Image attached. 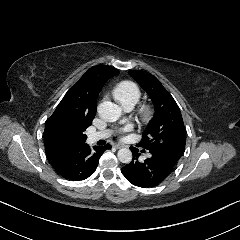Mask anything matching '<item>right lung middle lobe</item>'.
<instances>
[{
  "label": "right lung middle lobe",
  "instance_id": "obj_1",
  "mask_svg": "<svg viewBox=\"0 0 240 240\" xmlns=\"http://www.w3.org/2000/svg\"><path fill=\"white\" fill-rule=\"evenodd\" d=\"M84 130L85 129H80V130H78V133H83Z\"/></svg>",
  "mask_w": 240,
  "mask_h": 240
}]
</instances>
